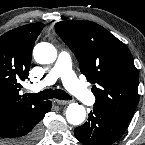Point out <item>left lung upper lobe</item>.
<instances>
[{
	"instance_id": "obj_1",
	"label": "left lung upper lobe",
	"mask_w": 145,
	"mask_h": 145,
	"mask_svg": "<svg viewBox=\"0 0 145 145\" xmlns=\"http://www.w3.org/2000/svg\"><path fill=\"white\" fill-rule=\"evenodd\" d=\"M60 38L74 52L86 79L96 85L94 108L125 123L137 102L139 74L128 47L91 21H62L55 25Z\"/></svg>"
}]
</instances>
